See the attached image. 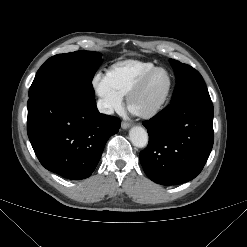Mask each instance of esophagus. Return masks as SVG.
<instances>
[{
  "mask_svg": "<svg viewBox=\"0 0 247 247\" xmlns=\"http://www.w3.org/2000/svg\"><path fill=\"white\" fill-rule=\"evenodd\" d=\"M131 122H123L121 124L122 129H128L131 126Z\"/></svg>",
  "mask_w": 247,
  "mask_h": 247,
  "instance_id": "obj_1",
  "label": "esophagus"
}]
</instances>
